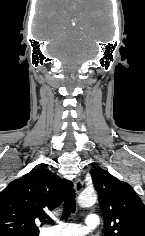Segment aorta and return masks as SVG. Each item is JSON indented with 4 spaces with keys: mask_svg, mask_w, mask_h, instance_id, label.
Masks as SVG:
<instances>
[{
    "mask_svg": "<svg viewBox=\"0 0 145 236\" xmlns=\"http://www.w3.org/2000/svg\"><path fill=\"white\" fill-rule=\"evenodd\" d=\"M97 201V194L94 190H84L78 197V203L82 207H90Z\"/></svg>",
    "mask_w": 145,
    "mask_h": 236,
    "instance_id": "aorta-1",
    "label": "aorta"
}]
</instances>
